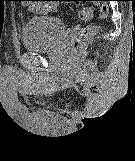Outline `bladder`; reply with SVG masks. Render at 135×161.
Masks as SVG:
<instances>
[{
  "instance_id": "obj_1",
  "label": "bladder",
  "mask_w": 135,
  "mask_h": 161,
  "mask_svg": "<svg viewBox=\"0 0 135 161\" xmlns=\"http://www.w3.org/2000/svg\"><path fill=\"white\" fill-rule=\"evenodd\" d=\"M66 25L62 18L55 16L32 17L27 20L22 31V42L26 50L43 51L53 48Z\"/></svg>"
}]
</instances>
